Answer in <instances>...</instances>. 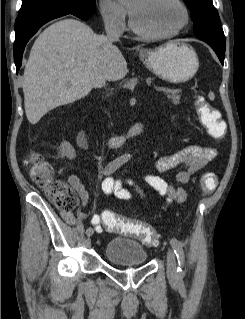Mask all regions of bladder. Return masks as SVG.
<instances>
[{
	"label": "bladder",
	"mask_w": 245,
	"mask_h": 319,
	"mask_svg": "<svg viewBox=\"0 0 245 319\" xmlns=\"http://www.w3.org/2000/svg\"><path fill=\"white\" fill-rule=\"evenodd\" d=\"M105 258L122 266H132L146 262L145 248L135 239L126 237L112 238L104 248Z\"/></svg>",
	"instance_id": "31cf9c89"
}]
</instances>
